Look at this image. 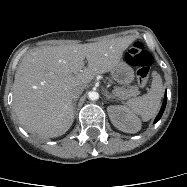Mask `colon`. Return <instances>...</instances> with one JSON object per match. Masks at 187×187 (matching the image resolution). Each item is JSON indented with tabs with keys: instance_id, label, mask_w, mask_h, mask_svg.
I'll return each instance as SVG.
<instances>
[{
	"instance_id": "5ec220e1",
	"label": "colon",
	"mask_w": 187,
	"mask_h": 187,
	"mask_svg": "<svg viewBox=\"0 0 187 187\" xmlns=\"http://www.w3.org/2000/svg\"><path fill=\"white\" fill-rule=\"evenodd\" d=\"M126 61L137 68V82L143 88L148 82L150 67L153 63L152 55L140 42L134 43L125 54Z\"/></svg>"
}]
</instances>
